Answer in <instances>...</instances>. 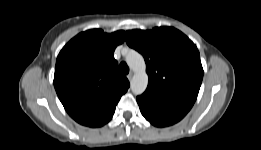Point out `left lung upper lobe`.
<instances>
[{
  "instance_id": "left-lung-upper-lobe-1",
  "label": "left lung upper lobe",
  "mask_w": 261,
  "mask_h": 150,
  "mask_svg": "<svg viewBox=\"0 0 261 150\" xmlns=\"http://www.w3.org/2000/svg\"><path fill=\"white\" fill-rule=\"evenodd\" d=\"M126 42L146 62L149 82L142 95L190 110L203 78L196 45L173 27L130 30Z\"/></svg>"
}]
</instances>
